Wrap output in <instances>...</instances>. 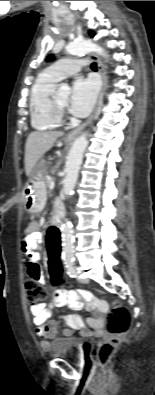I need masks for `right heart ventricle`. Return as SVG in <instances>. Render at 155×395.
<instances>
[{
	"mask_svg": "<svg viewBox=\"0 0 155 395\" xmlns=\"http://www.w3.org/2000/svg\"><path fill=\"white\" fill-rule=\"evenodd\" d=\"M57 82L47 72H43L37 77L31 88L29 96L30 121L36 130H52L60 126L61 121L55 116L50 103Z\"/></svg>",
	"mask_w": 155,
	"mask_h": 395,
	"instance_id": "obj_1",
	"label": "right heart ventricle"
}]
</instances>
